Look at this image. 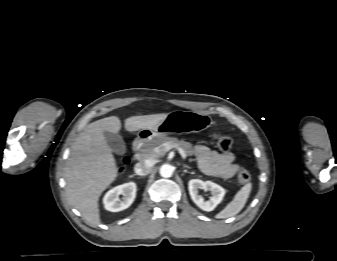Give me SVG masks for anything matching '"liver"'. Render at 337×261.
<instances>
[{"label": "liver", "mask_w": 337, "mask_h": 261, "mask_svg": "<svg viewBox=\"0 0 337 261\" xmlns=\"http://www.w3.org/2000/svg\"><path fill=\"white\" fill-rule=\"evenodd\" d=\"M167 114L132 116L125 120L129 132L148 129L165 119ZM121 121L111 116L86 126L72 146L66 163V195L91 225L101 223L99 197L116 180L118 167L104 132L118 133Z\"/></svg>", "instance_id": "1"}]
</instances>
